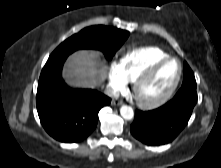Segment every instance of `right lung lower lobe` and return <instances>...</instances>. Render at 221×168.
Here are the masks:
<instances>
[{"instance_id": "right-lung-lower-lobe-1", "label": "right lung lower lobe", "mask_w": 221, "mask_h": 168, "mask_svg": "<svg viewBox=\"0 0 221 168\" xmlns=\"http://www.w3.org/2000/svg\"><path fill=\"white\" fill-rule=\"evenodd\" d=\"M67 57L49 58L38 81L36 106L46 132L60 142L87 138L95 129L98 113L111 99L92 89H71L62 79Z\"/></svg>"}]
</instances>
